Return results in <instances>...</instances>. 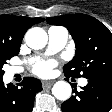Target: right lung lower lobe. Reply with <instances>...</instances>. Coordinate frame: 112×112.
<instances>
[{
  "label": "right lung lower lobe",
  "mask_w": 112,
  "mask_h": 112,
  "mask_svg": "<svg viewBox=\"0 0 112 112\" xmlns=\"http://www.w3.org/2000/svg\"><path fill=\"white\" fill-rule=\"evenodd\" d=\"M20 88L12 85L4 86L0 80V112H31L37 92L42 90L40 80L25 77L19 84Z\"/></svg>",
  "instance_id": "1"
}]
</instances>
